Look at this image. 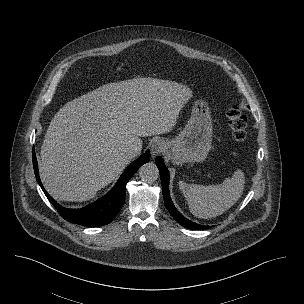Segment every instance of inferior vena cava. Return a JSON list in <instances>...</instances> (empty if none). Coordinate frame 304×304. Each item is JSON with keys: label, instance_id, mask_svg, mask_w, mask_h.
Listing matches in <instances>:
<instances>
[{"label": "inferior vena cava", "instance_id": "obj_1", "mask_svg": "<svg viewBox=\"0 0 304 304\" xmlns=\"http://www.w3.org/2000/svg\"><path fill=\"white\" fill-rule=\"evenodd\" d=\"M140 151H141V147H139L138 145H129L126 148V154L130 158L137 156L140 153Z\"/></svg>", "mask_w": 304, "mask_h": 304}]
</instances>
